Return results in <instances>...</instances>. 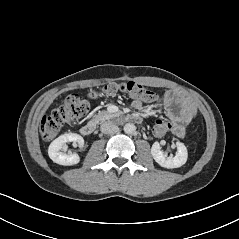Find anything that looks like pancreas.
<instances>
[{"instance_id":"obj_1","label":"pancreas","mask_w":239,"mask_h":239,"mask_svg":"<svg viewBox=\"0 0 239 239\" xmlns=\"http://www.w3.org/2000/svg\"><path fill=\"white\" fill-rule=\"evenodd\" d=\"M115 115L109 113L108 111L102 110L99 111L98 114L94 117V121L98 122H103L105 120H109L113 118Z\"/></svg>"}]
</instances>
